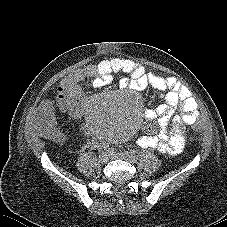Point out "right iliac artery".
<instances>
[{
    "label": "right iliac artery",
    "instance_id": "obj_1",
    "mask_svg": "<svg viewBox=\"0 0 227 227\" xmlns=\"http://www.w3.org/2000/svg\"><path fill=\"white\" fill-rule=\"evenodd\" d=\"M106 151H107L108 154H111V155L113 153H115V149L114 148H108Z\"/></svg>",
    "mask_w": 227,
    "mask_h": 227
}]
</instances>
